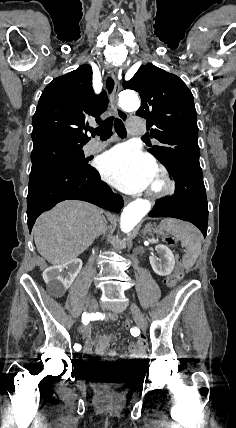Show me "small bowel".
<instances>
[{
	"label": "small bowel",
	"instance_id": "c3829d8e",
	"mask_svg": "<svg viewBox=\"0 0 236 428\" xmlns=\"http://www.w3.org/2000/svg\"><path fill=\"white\" fill-rule=\"evenodd\" d=\"M104 319L108 321H116L117 315L113 313H106L104 314ZM80 333L85 340L84 354L87 356L92 355L93 348L95 346V352L97 355H107L113 361L126 364H135L141 360L145 351L146 342L142 337L137 339L135 342L130 343L128 346V352L120 355L115 350H110L107 352V347L113 340L111 335L100 334L96 337L95 340H93L91 336V328L88 326L80 327Z\"/></svg>",
	"mask_w": 236,
	"mask_h": 428
}]
</instances>
